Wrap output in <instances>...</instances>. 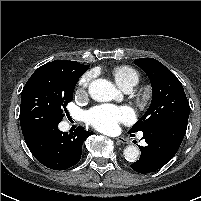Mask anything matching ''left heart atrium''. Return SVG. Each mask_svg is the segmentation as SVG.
Returning <instances> with one entry per match:
<instances>
[{
  "label": "left heart atrium",
  "instance_id": "1",
  "mask_svg": "<svg viewBox=\"0 0 201 201\" xmlns=\"http://www.w3.org/2000/svg\"><path fill=\"white\" fill-rule=\"evenodd\" d=\"M134 113L129 107H116L112 105L96 106L86 113L87 122L102 132H113L119 123L130 122Z\"/></svg>",
  "mask_w": 201,
  "mask_h": 201
}]
</instances>
